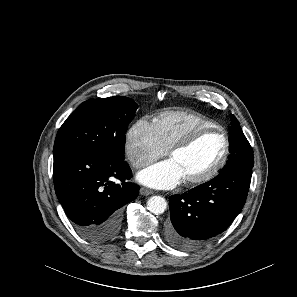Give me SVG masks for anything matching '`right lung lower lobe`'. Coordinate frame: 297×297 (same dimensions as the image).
Listing matches in <instances>:
<instances>
[{
  "mask_svg": "<svg viewBox=\"0 0 297 297\" xmlns=\"http://www.w3.org/2000/svg\"><path fill=\"white\" fill-rule=\"evenodd\" d=\"M130 178L124 160L89 150L54 152L56 195L76 230L91 241L105 242L119 233L122 207L139 193V186L127 182Z\"/></svg>",
  "mask_w": 297,
  "mask_h": 297,
  "instance_id": "1",
  "label": "right lung lower lobe"
}]
</instances>
